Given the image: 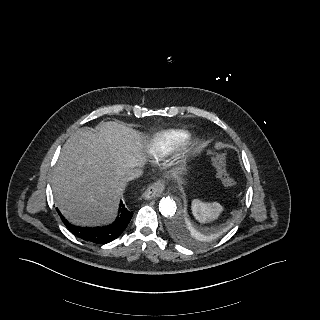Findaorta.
Wrapping results in <instances>:
<instances>
[{"label": "aorta", "mask_w": 320, "mask_h": 320, "mask_svg": "<svg viewBox=\"0 0 320 320\" xmlns=\"http://www.w3.org/2000/svg\"><path fill=\"white\" fill-rule=\"evenodd\" d=\"M159 210L165 217H171L175 215L177 210V204L172 197H164L159 202ZM178 227L181 228V223L177 222Z\"/></svg>", "instance_id": "1"}]
</instances>
